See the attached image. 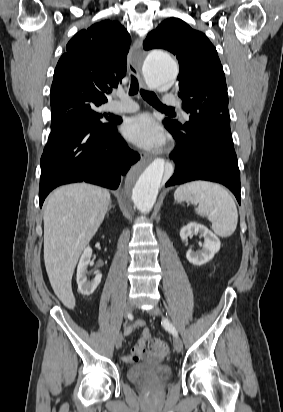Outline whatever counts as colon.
<instances>
[{
	"mask_svg": "<svg viewBox=\"0 0 283 412\" xmlns=\"http://www.w3.org/2000/svg\"><path fill=\"white\" fill-rule=\"evenodd\" d=\"M148 349L150 353L156 358L165 357L170 351L168 345L165 342L158 339L149 340Z\"/></svg>",
	"mask_w": 283,
	"mask_h": 412,
	"instance_id": "1",
	"label": "colon"
}]
</instances>
